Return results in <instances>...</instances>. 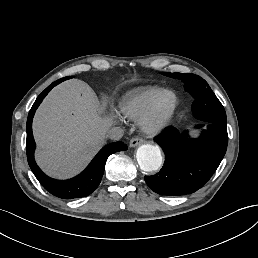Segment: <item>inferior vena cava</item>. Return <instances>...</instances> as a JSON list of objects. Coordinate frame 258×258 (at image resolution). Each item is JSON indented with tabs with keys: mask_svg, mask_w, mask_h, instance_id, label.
Returning a JSON list of instances; mask_svg holds the SVG:
<instances>
[{
	"mask_svg": "<svg viewBox=\"0 0 258 258\" xmlns=\"http://www.w3.org/2000/svg\"><path fill=\"white\" fill-rule=\"evenodd\" d=\"M107 136L112 140H119L123 136V130L120 127H113L108 130Z\"/></svg>",
	"mask_w": 258,
	"mask_h": 258,
	"instance_id": "inferior-vena-cava-1",
	"label": "inferior vena cava"
}]
</instances>
